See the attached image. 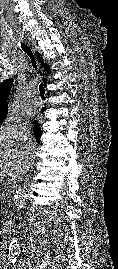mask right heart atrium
I'll return each mask as SVG.
<instances>
[{
  "mask_svg": "<svg viewBox=\"0 0 118 269\" xmlns=\"http://www.w3.org/2000/svg\"><path fill=\"white\" fill-rule=\"evenodd\" d=\"M21 116L17 111H12L10 114V120L13 122H18L20 120Z\"/></svg>",
  "mask_w": 118,
  "mask_h": 269,
  "instance_id": "obj_1",
  "label": "right heart atrium"
}]
</instances>
